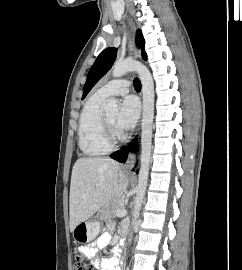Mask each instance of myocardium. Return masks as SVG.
<instances>
[{
	"mask_svg": "<svg viewBox=\"0 0 242 270\" xmlns=\"http://www.w3.org/2000/svg\"><path fill=\"white\" fill-rule=\"evenodd\" d=\"M102 127H103V136L106 144L112 149L117 146V144L122 141L123 135L119 131V129L115 128L107 116L104 114L102 119Z\"/></svg>",
	"mask_w": 242,
	"mask_h": 270,
	"instance_id": "myocardium-1",
	"label": "myocardium"
}]
</instances>
